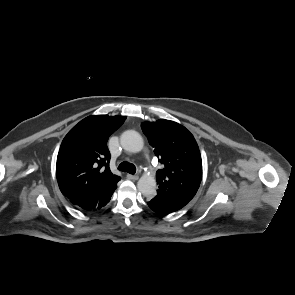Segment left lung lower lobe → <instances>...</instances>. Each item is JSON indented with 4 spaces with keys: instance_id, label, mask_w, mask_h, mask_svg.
Segmentation results:
<instances>
[{
    "instance_id": "obj_1",
    "label": "left lung lower lobe",
    "mask_w": 295,
    "mask_h": 295,
    "mask_svg": "<svg viewBox=\"0 0 295 295\" xmlns=\"http://www.w3.org/2000/svg\"><path fill=\"white\" fill-rule=\"evenodd\" d=\"M189 199L157 190V194L149 198L148 206L160 215L176 212L189 203Z\"/></svg>"
}]
</instances>
